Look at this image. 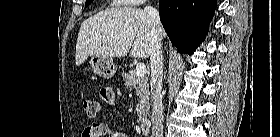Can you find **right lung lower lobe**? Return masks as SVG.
<instances>
[{"mask_svg": "<svg viewBox=\"0 0 280 137\" xmlns=\"http://www.w3.org/2000/svg\"><path fill=\"white\" fill-rule=\"evenodd\" d=\"M217 0H160V20L179 52L193 53L205 39Z\"/></svg>", "mask_w": 280, "mask_h": 137, "instance_id": "right-lung-lower-lobe-1", "label": "right lung lower lobe"}]
</instances>
